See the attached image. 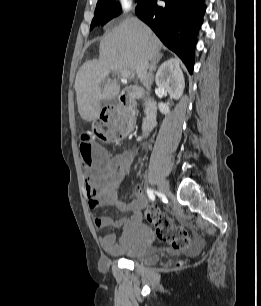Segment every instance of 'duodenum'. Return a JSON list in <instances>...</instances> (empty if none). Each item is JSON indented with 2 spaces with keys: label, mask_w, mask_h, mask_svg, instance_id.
Returning <instances> with one entry per match:
<instances>
[{
  "label": "duodenum",
  "mask_w": 261,
  "mask_h": 306,
  "mask_svg": "<svg viewBox=\"0 0 261 306\" xmlns=\"http://www.w3.org/2000/svg\"><path fill=\"white\" fill-rule=\"evenodd\" d=\"M143 97L144 95L142 91H140L136 87L130 86L125 88L123 92L119 95V103L121 107L128 110L132 108L136 100L141 99ZM145 109L146 112L142 123V129L144 132H149L156 125V103L152 100L145 99Z\"/></svg>",
  "instance_id": "duodenum-1"
}]
</instances>
